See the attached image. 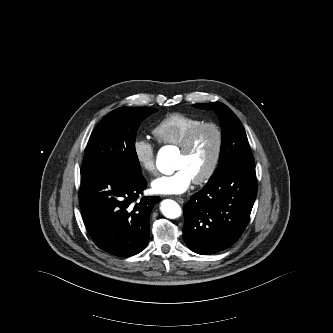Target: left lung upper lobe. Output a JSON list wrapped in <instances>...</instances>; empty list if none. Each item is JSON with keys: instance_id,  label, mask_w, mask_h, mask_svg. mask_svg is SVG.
<instances>
[{"instance_id": "5c2ea615", "label": "left lung upper lobe", "mask_w": 333, "mask_h": 333, "mask_svg": "<svg viewBox=\"0 0 333 333\" xmlns=\"http://www.w3.org/2000/svg\"><path fill=\"white\" fill-rule=\"evenodd\" d=\"M193 106L217 112L222 124L219 164L209 180L232 166L254 162L245 130L238 117L226 105L221 102H215L194 104Z\"/></svg>"}]
</instances>
